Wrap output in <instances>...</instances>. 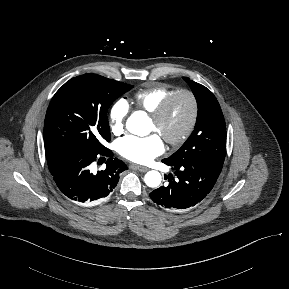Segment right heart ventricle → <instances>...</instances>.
<instances>
[{
	"label": "right heart ventricle",
	"instance_id": "right-heart-ventricle-1",
	"mask_svg": "<svg viewBox=\"0 0 289 289\" xmlns=\"http://www.w3.org/2000/svg\"><path fill=\"white\" fill-rule=\"evenodd\" d=\"M176 90H178L176 87L168 84H149L134 94V103L137 108L151 114Z\"/></svg>",
	"mask_w": 289,
	"mask_h": 289
}]
</instances>
